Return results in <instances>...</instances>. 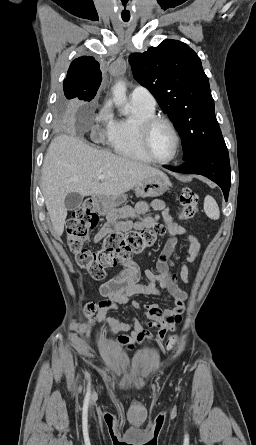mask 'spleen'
Listing matches in <instances>:
<instances>
[{"mask_svg":"<svg viewBox=\"0 0 256 445\" xmlns=\"http://www.w3.org/2000/svg\"><path fill=\"white\" fill-rule=\"evenodd\" d=\"M204 211L210 219L217 220L220 217L219 207L215 199L209 195L204 199Z\"/></svg>","mask_w":256,"mask_h":445,"instance_id":"3e777b00","label":"spleen"}]
</instances>
